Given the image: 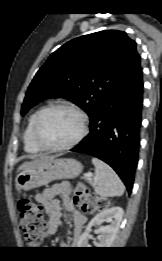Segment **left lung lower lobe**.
<instances>
[{"mask_svg": "<svg viewBox=\"0 0 162 261\" xmlns=\"http://www.w3.org/2000/svg\"><path fill=\"white\" fill-rule=\"evenodd\" d=\"M143 74L139 66L120 82L90 117V133L71 151L109 164L131 193L139 153Z\"/></svg>", "mask_w": 162, "mask_h": 261, "instance_id": "obj_1", "label": "left lung lower lobe"}]
</instances>
